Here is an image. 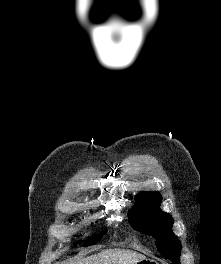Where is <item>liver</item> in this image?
I'll return each instance as SVG.
<instances>
[{
	"label": "liver",
	"instance_id": "liver-1",
	"mask_svg": "<svg viewBox=\"0 0 221 264\" xmlns=\"http://www.w3.org/2000/svg\"><path fill=\"white\" fill-rule=\"evenodd\" d=\"M143 259H146L144 255L134 251L109 249L86 258H80L70 264H136Z\"/></svg>",
	"mask_w": 221,
	"mask_h": 264
}]
</instances>
